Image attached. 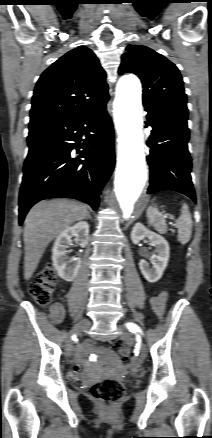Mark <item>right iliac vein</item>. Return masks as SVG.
I'll list each match as a JSON object with an SVG mask.
<instances>
[{"instance_id":"obj_1","label":"right iliac vein","mask_w":212,"mask_h":438,"mask_svg":"<svg viewBox=\"0 0 212 438\" xmlns=\"http://www.w3.org/2000/svg\"><path fill=\"white\" fill-rule=\"evenodd\" d=\"M90 327V322L87 320L81 321L79 324H77L70 332V336L72 335H80L82 331L88 329ZM72 341L71 337L67 340L66 343V353L68 356L72 355Z\"/></svg>"}]
</instances>
